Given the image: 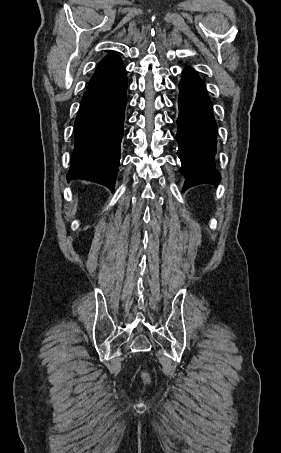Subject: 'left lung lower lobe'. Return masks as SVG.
Masks as SVG:
<instances>
[{"instance_id": "0a47b994", "label": "left lung lower lobe", "mask_w": 281, "mask_h": 453, "mask_svg": "<svg viewBox=\"0 0 281 453\" xmlns=\"http://www.w3.org/2000/svg\"><path fill=\"white\" fill-rule=\"evenodd\" d=\"M177 142L181 173L187 178L183 190L221 180L215 168L217 126L202 80L193 69H184L179 84Z\"/></svg>"}]
</instances>
